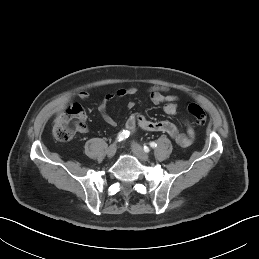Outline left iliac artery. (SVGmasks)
<instances>
[{"label": "left iliac artery", "mask_w": 259, "mask_h": 259, "mask_svg": "<svg viewBox=\"0 0 259 259\" xmlns=\"http://www.w3.org/2000/svg\"><path fill=\"white\" fill-rule=\"evenodd\" d=\"M150 147L155 148L157 146V144L155 142H150L149 143ZM144 151L148 152L149 148L147 146H144Z\"/></svg>", "instance_id": "obj_1"}]
</instances>
